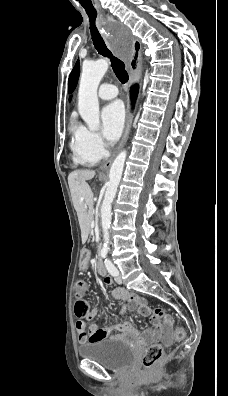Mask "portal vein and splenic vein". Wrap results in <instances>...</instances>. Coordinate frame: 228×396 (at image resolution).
I'll return each mask as SVG.
<instances>
[{
    "label": "portal vein and splenic vein",
    "mask_w": 228,
    "mask_h": 396,
    "mask_svg": "<svg viewBox=\"0 0 228 396\" xmlns=\"http://www.w3.org/2000/svg\"><path fill=\"white\" fill-rule=\"evenodd\" d=\"M94 226V222H92V227Z\"/></svg>",
    "instance_id": "1"
}]
</instances>
